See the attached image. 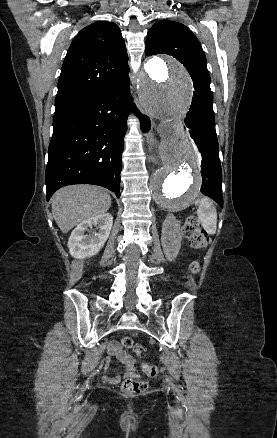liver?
<instances>
[{
	"instance_id": "obj_1",
	"label": "liver",
	"mask_w": 277,
	"mask_h": 438,
	"mask_svg": "<svg viewBox=\"0 0 277 438\" xmlns=\"http://www.w3.org/2000/svg\"><path fill=\"white\" fill-rule=\"evenodd\" d=\"M111 196L97 186H66L55 192L52 198V212L55 222L63 234L74 226L108 212Z\"/></svg>"
}]
</instances>
